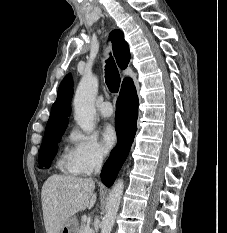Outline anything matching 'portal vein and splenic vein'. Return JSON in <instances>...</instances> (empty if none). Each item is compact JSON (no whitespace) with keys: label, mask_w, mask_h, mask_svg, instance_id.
I'll return each instance as SVG.
<instances>
[{"label":"portal vein and splenic vein","mask_w":227,"mask_h":233,"mask_svg":"<svg viewBox=\"0 0 227 233\" xmlns=\"http://www.w3.org/2000/svg\"><path fill=\"white\" fill-rule=\"evenodd\" d=\"M83 233H92V229L90 228L89 225H87V226L84 228Z\"/></svg>","instance_id":"obj_1"}]
</instances>
